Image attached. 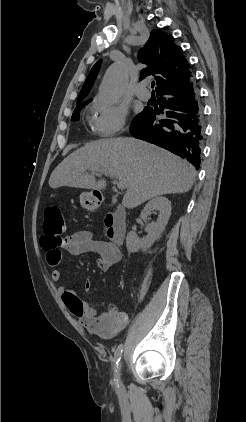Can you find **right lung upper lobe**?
<instances>
[{
    "label": "right lung upper lobe",
    "mask_w": 246,
    "mask_h": 422,
    "mask_svg": "<svg viewBox=\"0 0 246 422\" xmlns=\"http://www.w3.org/2000/svg\"><path fill=\"white\" fill-rule=\"evenodd\" d=\"M181 47L174 43V38L161 30H152L150 38L139 50L138 59L148 67L142 69L140 80L149 75L155 76L156 92L179 83L192 76L190 65L182 55ZM101 60L92 67L77 99V106L91 101H83L92 88L99 71ZM76 106V107H77Z\"/></svg>",
    "instance_id": "right-lung-upper-lobe-1"
}]
</instances>
